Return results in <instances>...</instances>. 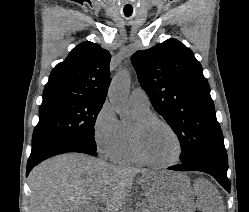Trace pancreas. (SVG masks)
Masks as SVG:
<instances>
[{
    "label": "pancreas",
    "instance_id": "1",
    "mask_svg": "<svg viewBox=\"0 0 249 212\" xmlns=\"http://www.w3.org/2000/svg\"><path fill=\"white\" fill-rule=\"evenodd\" d=\"M139 208H138V212H151V208L150 206H147V204H138Z\"/></svg>",
    "mask_w": 249,
    "mask_h": 212
}]
</instances>
